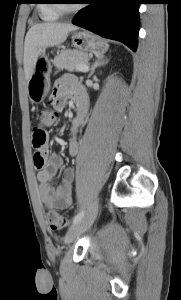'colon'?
<instances>
[{
  "instance_id": "5ec220e1",
  "label": "colon",
  "mask_w": 181,
  "mask_h": 300,
  "mask_svg": "<svg viewBox=\"0 0 181 300\" xmlns=\"http://www.w3.org/2000/svg\"><path fill=\"white\" fill-rule=\"evenodd\" d=\"M34 117L38 125L33 129L32 147L35 151L34 160L36 167L40 168L45 163V158L42 153L48 141V135L43 127L52 125L57 116L51 110H37ZM46 220L52 230H60L67 225L66 217L54 210L47 211Z\"/></svg>"
}]
</instances>
